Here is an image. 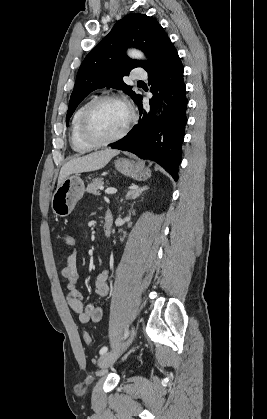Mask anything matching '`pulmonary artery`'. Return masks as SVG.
Instances as JSON below:
<instances>
[{"mask_svg": "<svg viewBox=\"0 0 267 419\" xmlns=\"http://www.w3.org/2000/svg\"><path fill=\"white\" fill-rule=\"evenodd\" d=\"M133 79L136 80H144L147 78V74L145 71L141 69H135L132 74Z\"/></svg>", "mask_w": 267, "mask_h": 419, "instance_id": "e3ab8cb5", "label": "pulmonary artery"}]
</instances>
